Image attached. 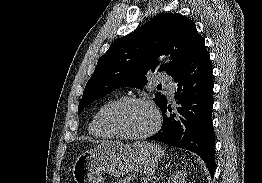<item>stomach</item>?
<instances>
[{
    "label": "stomach",
    "instance_id": "stomach-1",
    "mask_svg": "<svg viewBox=\"0 0 262 183\" xmlns=\"http://www.w3.org/2000/svg\"><path fill=\"white\" fill-rule=\"evenodd\" d=\"M163 155L161 146L147 141H103L76 158L72 174L76 183H104L103 173L120 177L129 172H154Z\"/></svg>",
    "mask_w": 262,
    "mask_h": 183
}]
</instances>
